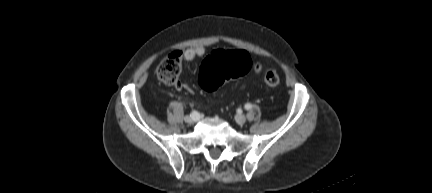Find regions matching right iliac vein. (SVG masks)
Returning <instances> with one entry per match:
<instances>
[{
	"mask_svg": "<svg viewBox=\"0 0 432 193\" xmlns=\"http://www.w3.org/2000/svg\"><path fill=\"white\" fill-rule=\"evenodd\" d=\"M184 120H185V122H187V123L196 122V121L199 120V115L196 114L195 116H186V117L184 118Z\"/></svg>",
	"mask_w": 432,
	"mask_h": 193,
	"instance_id": "obj_1",
	"label": "right iliac vein"
}]
</instances>
